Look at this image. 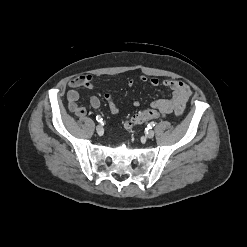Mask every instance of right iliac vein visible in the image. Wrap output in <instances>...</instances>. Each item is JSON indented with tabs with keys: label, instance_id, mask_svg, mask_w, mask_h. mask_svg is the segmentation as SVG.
<instances>
[{
	"label": "right iliac vein",
	"instance_id": "obj_1",
	"mask_svg": "<svg viewBox=\"0 0 247 247\" xmlns=\"http://www.w3.org/2000/svg\"><path fill=\"white\" fill-rule=\"evenodd\" d=\"M96 131L98 134H102L103 133V127L101 125H97L96 126Z\"/></svg>",
	"mask_w": 247,
	"mask_h": 247
}]
</instances>
